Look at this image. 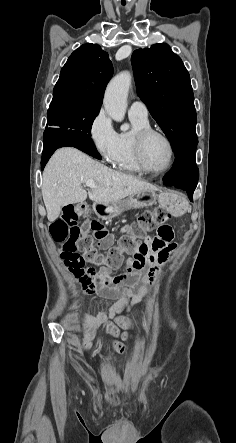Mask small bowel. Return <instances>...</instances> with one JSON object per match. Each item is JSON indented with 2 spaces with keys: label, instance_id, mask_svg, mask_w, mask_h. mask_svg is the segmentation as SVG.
<instances>
[{
  "label": "small bowel",
  "instance_id": "1",
  "mask_svg": "<svg viewBox=\"0 0 236 443\" xmlns=\"http://www.w3.org/2000/svg\"><path fill=\"white\" fill-rule=\"evenodd\" d=\"M108 242L100 240L99 248L106 247ZM169 241L164 240L158 233L154 237H146L144 242L137 246H145L149 250V256L144 260V266L136 271L134 277L129 279L124 274L111 277L110 271L106 268L100 274L92 268L76 269L64 261V265L80 286L83 293L98 294L103 297L119 296V302L105 310L100 311L91 318V327L85 328L82 335V349L88 351L92 347V328L105 326L107 332L115 341L113 347L119 352H124L123 345L118 340L125 341L131 339L132 333L139 327L147 325L142 319L132 320L123 314L133 305L139 303L147 292L148 286L153 284L159 274L160 269L167 263L171 249ZM132 259L126 263V271ZM104 276H110L108 281H102ZM127 285L125 288H115L119 285Z\"/></svg>",
  "mask_w": 236,
  "mask_h": 443
}]
</instances>
